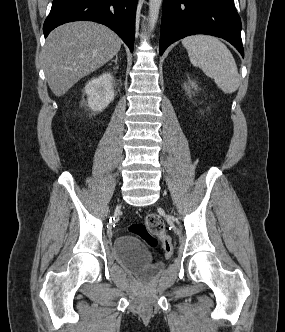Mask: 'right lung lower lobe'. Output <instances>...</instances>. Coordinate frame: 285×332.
Here are the masks:
<instances>
[{
	"instance_id": "98d812e1",
	"label": "right lung lower lobe",
	"mask_w": 285,
	"mask_h": 332,
	"mask_svg": "<svg viewBox=\"0 0 285 332\" xmlns=\"http://www.w3.org/2000/svg\"><path fill=\"white\" fill-rule=\"evenodd\" d=\"M138 0H53L43 32L78 20L99 22L111 28L133 52L135 12Z\"/></svg>"
}]
</instances>
